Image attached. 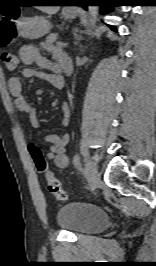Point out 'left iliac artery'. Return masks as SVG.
Here are the masks:
<instances>
[{
  "label": "left iliac artery",
  "mask_w": 156,
  "mask_h": 266,
  "mask_svg": "<svg viewBox=\"0 0 156 266\" xmlns=\"http://www.w3.org/2000/svg\"><path fill=\"white\" fill-rule=\"evenodd\" d=\"M73 163L74 165L79 168L80 167V156L79 154H76L73 158Z\"/></svg>",
  "instance_id": "left-iliac-artery-1"
}]
</instances>
